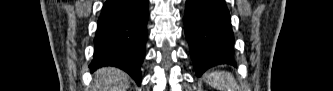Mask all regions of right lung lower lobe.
<instances>
[{"mask_svg":"<svg viewBox=\"0 0 333 91\" xmlns=\"http://www.w3.org/2000/svg\"><path fill=\"white\" fill-rule=\"evenodd\" d=\"M148 18V0H107L98 20L91 71L114 66L140 85Z\"/></svg>","mask_w":333,"mask_h":91,"instance_id":"1","label":"right lung lower lobe"}]
</instances>
